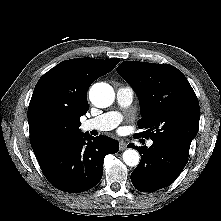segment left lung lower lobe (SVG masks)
<instances>
[{
    "label": "left lung lower lobe",
    "instance_id": "0a47b994",
    "mask_svg": "<svg viewBox=\"0 0 221 221\" xmlns=\"http://www.w3.org/2000/svg\"><path fill=\"white\" fill-rule=\"evenodd\" d=\"M127 147L136 148L141 154L139 165L131 173V181L142 192H154L169 186L188 162V155L164 142L153 141L149 148L133 144Z\"/></svg>",
    "mask_w": 221,
    "mask_h": 221
}]
</instances>
